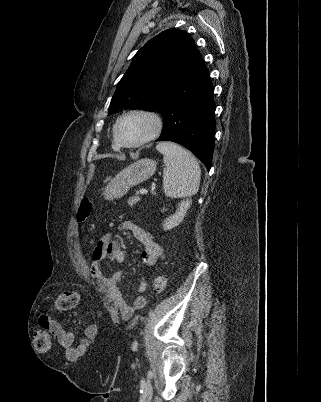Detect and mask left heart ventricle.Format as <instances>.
<instances>
[{
    "instance_id": "1",
    "label": "left heart ventricle",
    "mask_w": 321,
    "mask_h": 402,
    "mask_svg": "<svg viewBox=\"0 0 321 402\" xmlns=\"http://www.w3.org/2000/svg\"><path fill=\"white\" fill-rule=\"evenodd\" d=\"M151 121L140 115L124 119L119 125V136L124 143L131 144L145 137L151 130Z\"/></svg>"
}]
</instances>
